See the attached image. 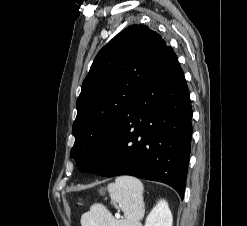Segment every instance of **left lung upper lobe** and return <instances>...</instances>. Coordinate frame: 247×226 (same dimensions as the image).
I'll return each mask as SVG.
<instances>
[{
  "label": "left lung upper lobe",
  "mask_w": 247,
  "mask_h": 226,
  "mask_svg": "<svg viewBox=\"0 0 247 226\" xmlns=\"http://www.w3.org/2000/svg\"><path fill=\"white\" fill-rule=\"evenodd\" d=\"M166 42L144 25L116 35L95 57L77 99L70 156L82 171L88 159L115 133L119 120Z\"/></svg>",
  "instance_id": "left-lung-upper-lobe-1"
}]
</instances>
